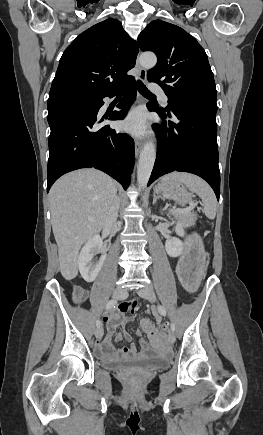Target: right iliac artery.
I'll use <instances>...</instances> for the list:
<instances>
[{
	"mask_svg": "<svg viewBox=\"0 0 263 435\" xmlns=\"http://www.w3.org/2000/svg\"><path fill=\"white\" fill-rule=\"evenodd\" d=\"M116 304H117V300H116V299H112V300H110V301L106 304L105 309H106V310H109V309L115 307ZM96 326H97V328H100V326H101V322H100V320H97V322H96Z\"/></svg>",
	"mask_w": 263,
	"mask_h": 435,
	"instance_id": "82829eb1",
	"label": "right iliac artery"
}]
</instances>
